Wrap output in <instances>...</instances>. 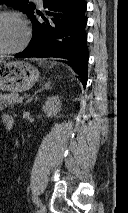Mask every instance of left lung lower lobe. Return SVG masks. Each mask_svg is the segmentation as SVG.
<instances>
[{
	"instance_id": "1",
	"label": "left lung lower lobe",
	"mask_w": 128,
	"mask_h": 213,
	"mask_svg": "<svg viewBox=\"0 0 128 213\" xmlns=\"http://www.w3.org/2000/svg\"><path fill=\"white\" fill-rule=\"evenodd\" d=\"M46 15L37 12L43 18L39 22L35 9L29 15L33 23V39L29 46L18 53L16 58L58 57L67 62L82 78L86 86L88 74V48L85 26L87 19L85 0H43Z\"/></svg>"
}]
</instances>
